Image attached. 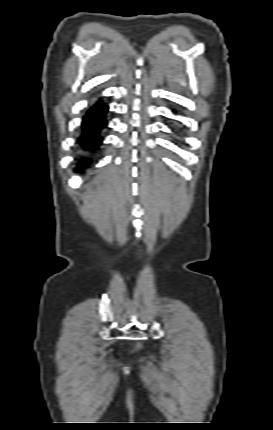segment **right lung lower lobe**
<instances>
[{
    "label": "right lung lower lobe",
    "instance_id": "right-lung-lower-lobe-1",
    "mask_svg": "<svg viewBox=\"0 0 273 430\" xmlns=\"http://www.w3.org/2000/svg\"><path fill=\"white\" fill-rule=\"evenodd\" d=\"M107 112L108 106L99 101L83 117L81 132L77 139V157L79 158L77 172L93 163L92 158L103 141L102 131L108 124L106 120Z\"/></svg>",
    "mask_w": 273,
    "mask_h": 430
}]
</instances>
